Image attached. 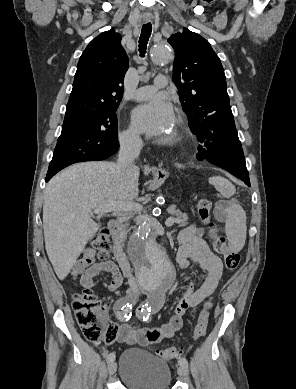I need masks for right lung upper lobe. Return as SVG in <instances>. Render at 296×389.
Segmentation results:
<instances>
[{"instance_id": "obj_1", "label": "right lung upper lobe", "mask_w": 296, "mask_h": 389, "mask_svg": "<svg viewBox=\"0 0 296 389\" xmlns=\"http://www.w3.org/2000/svg\"><path fill=\"white\" fill-rule=\"evenodd\" d=\"M127 69L120 34L110 30L98 35L79 59L65 118L118 106Z\"/></svg>"}]
</instances>
